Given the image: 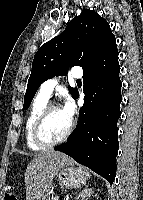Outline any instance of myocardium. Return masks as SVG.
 I'll return each mask as SVG.
<instances>
[{"label": "myocardium", "instance_id": "myocardium-1", "mask_svg": "<svg viewBox=\"0 0 143 200\" xmlns=\"http://www.w3.org/2000/svg\"><path fill=\"white\" fill-rule=\"evenodd\" d=\"M54 109H61V108L56 103H53V102L48 103L45 106V108L42 110L38 118L36 119L32 128V137H33L34 142L43 148L53 147L65 142L73 131L74 123L71 120L68 129L60 138L56 140H48L45 138V136L43 135V127L48 116Z\"/></svg>", "mask_w": 143, "mask_h": 200}]
</instances>
